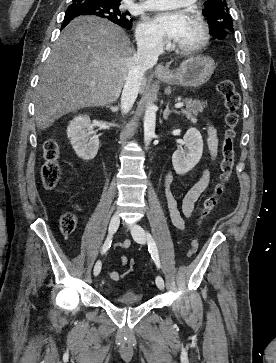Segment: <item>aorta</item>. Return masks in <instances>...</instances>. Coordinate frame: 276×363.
<instances>
[{"label": "aorta", "mask_w": 276, "mask_h": 363, "mask_svg": "<svg viewBox=\"0 0 276 363\" xmlns=\"http://www.w3.org/2000/svg\"><path fill=\"white\" fill-rule=\"evenodd\" d=\"M156 111L154 105L147 106L144 116V142L148 146L155 135Z\"/></svg>", "instance_id": "obj_1"}]
</instances>
